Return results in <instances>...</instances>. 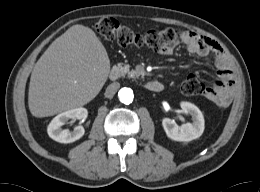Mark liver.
Here are the masks:
<instances>
[{
    "instance_id": "1",
    "label": "liver",
    "mask_w": 260,
    "mask_h": 192,
    "mask_svg": "<svg viewBox=\"0 0 260 192\" xmlns=\"http://www.w3.org/2000/svg\"><path fill=\"white\" fill-rule=\"evenodd\" d=\"M110 72V60L95 32L73 25L52 42L36 62L28 106L35 117H48L93 100Z\"/></svg>"
}]
</instances>
